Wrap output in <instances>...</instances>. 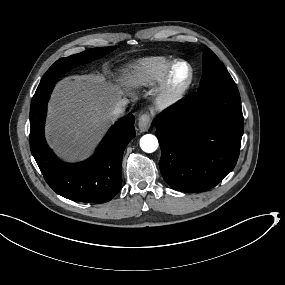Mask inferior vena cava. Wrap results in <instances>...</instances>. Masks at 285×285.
Masks as SVG:
<instances>
[{"label": "inferior vena cava", "mask_w": 285, "mask_h": 285, "mask_svg": "<svg viewBox=\"0 0 285 285\" xmlns=\"http://www.w3.org/2000/svg\"><path fill=\"white\" fill-rule=\"evenodd\" d=\"M128 104L127 99H122L118 102L117 106L114 108V110L111 113V118L113 121H115L117 118L121 117L124 114L125 106Z\"/></svg>", "instance_id": "obj_1"}]
</instances>
